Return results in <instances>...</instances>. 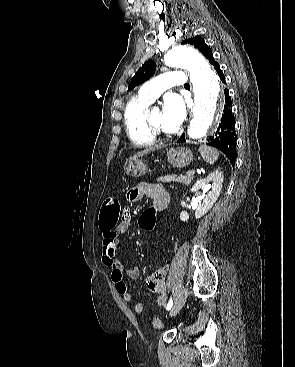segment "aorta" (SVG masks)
I'll return each mask as SVG.
<instances>
[{"instance_id": "obj_1", "label": "aorta", "mask_w": 295, "mask_h": 367, "mask_svg": "<svg viewBox=\"0 0 295 367\" xmlns=\"http://www.w3.org/2000/svg\"><path fill=\"white\" fill-rule=\"evenodd\" d=\"M164 62L169 67L189 70L195 105L187 133L192 140L205 137L222 106L217 73L197 51L185 46L172 48L165 55Z\"/></svg>"}]
</instances>
